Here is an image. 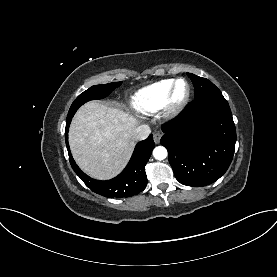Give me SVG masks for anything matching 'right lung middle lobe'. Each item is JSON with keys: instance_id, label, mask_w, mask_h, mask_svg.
<instances>
[{"instance_id": "1", "label": "right lung middle lobe", "mask_w": 277, "mask_h": 277, "mask_svg": "<svg viewBox=\"0 0 277 277\" xmlns=\"http://www.w3.org/2000/svg\"><path fill=\"white\" fill-rule=\"evenodd\" d=\"M121 84L122 82H114L102 85H95L84 91L72 103L67 115L66 122H70L72 120V117L81 105L90 100L102 99L106 97L107 95H109V93H111L115 88L119 87Z\"/></svg>"}]
</instances>
